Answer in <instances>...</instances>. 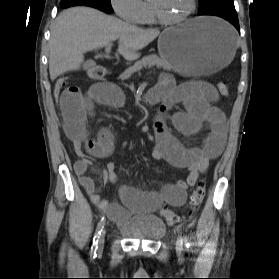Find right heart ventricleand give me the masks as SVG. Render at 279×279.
<instances>
[{
    "instance_id": "right-heart-ventricle-1",
    "label": "right heart ventricle",
    "mask_w": 279,
    "mask_h": 279,
    "mask_svg": "<svg viewBox=\"0 0 279 279\" xmlns=\"http://www.w3.org/2000/svg\"><path fill=\"white\" fill-rule=\"evenodd\" d=\"M156 19L152 13L149 2L145 3V11L139 21L141 24H154L156 23Z\"/></svg>"
}]
</instances>
